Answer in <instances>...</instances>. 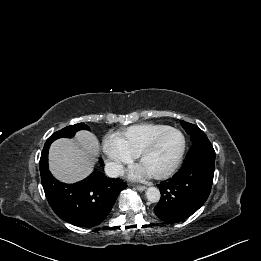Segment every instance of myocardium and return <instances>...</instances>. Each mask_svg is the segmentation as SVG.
<instances>
[{
  "label": "myocardium",
  "instance_id": "obj_1",
  "mask_svg": "<svg viewBox=\"0 0 261 261\" xmlns=\"http://www.w3.org/2000/svg\"><path fill=\"white\" fill-rule=\"evenodd\" d=\"M170 132L176 133L179 135V137L181 139V145H180L179 151H178L173 163L166 170H164L160 173H157V174H152V176L155 179L168 178L169 176L174 174L175 171L180 166V164L183 160V157H184L185 149H186V140H185L183 133L176 128L168 127L166 129L162 130L161 132L157 133L154 137H152L150 139V141L144 146V148L137 155L138 162H139V164H141V162L145 159V157H147L153 151V149L155 148V146L157 145L159 140L165 134L170 133Z\"/></svg>",
  "mask_w": 261,
  "mask_h": 261
}]
</instances>
